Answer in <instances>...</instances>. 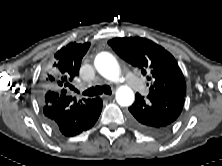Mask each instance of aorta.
I'll list each match as a JSON object with an SVG mask.
<instances>
[{
  "instance_id": "762f6f07",
  "label": "aorta",
  "mask_w": 222,
  "mask_h": 166,
  "mask_svg": "<svg viewBox=\"0 0 222 166\" xmlns=\"http://www.w3.org/2000/svg\"><path fill=\"white\" fill-rule=\"evenodd\" d=\"M97 71L106 79L116 82L120 69L114 56L108 52H102L95 58ZM116 101L120 106H130L134 102V93L128 86H120L116 91Z\"/></svg>"
}]
</instances>
